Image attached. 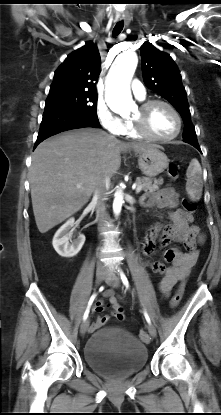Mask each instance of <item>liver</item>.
I'll list each match as a JSON object with an SVG mask.
<instances>
[{
	"instance_id": "liver-1",
	"label": "liver",
	"mask_w": 221,
	"mask_h": 415,
	"mask_svg": "<svg viewBox=\"0 0 221 415\" xmlns=\"http://www.w3.org/2000/svg\"><path fill=\"white\" fill-rule=\"evenodd\" d=\"M150 146L125 143L94 128L68 131L43 141L33 153L29 171L38 230L46 233L79 211L98 181L117 172L122 151L139 153Z\"/></svg>"
}]
</instances>
